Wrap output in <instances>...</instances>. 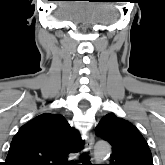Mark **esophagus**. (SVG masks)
<instances>
[{"instance_id":"1","label":"esophagus","mask_w":165,"mask_h":165,"mask_svg":"<svg viewBox=\"0 0 165 165\" xmlns=\"http://www.w3.org/2000/svg\"><path fill=\"white\" fill-rule=\"evenodd\" d=\"M94 142H95L94 136L90 133L89 137H88V140L86 141V144H85V151L86 152L92 154Z\"/></svg>"}]
</instances>
